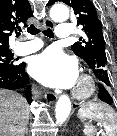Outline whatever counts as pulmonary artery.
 Masks as SVG:
<instances>
[{
    "label": "pulmonary artery",
    "instance_id": "1",
    "mask_svg": "<svg viewBox=\"0 0 117 136\" xmlns=\"http://www.w3.org/2000/svg\"><path fill=\"white\" fill-rule=\"evenodd\" d=\"M56 36L60 39H68L72 37V31L68 23H62L56 30ZM43 46L40 40H32L23 43L21 46L15 49L18 55H26L39 50Z\"/></svg>",
    "mask_w": 117,
    "mask_h": 136
}]
</instances>
